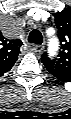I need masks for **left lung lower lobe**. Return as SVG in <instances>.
<instances>
[{
  "label": "left lung lower lobe",
  "mask_w": 71,
  "mask_h": 119,
  "mask_svg": "<svg viewBox=\"0 0 71 119\" xmlns=\"http://www.w3.org/2000/svg\"><path fill=\"white\" fill-rule=\"evenodd\" d=\"M54 77L63 81V82H71V73L66 71H60L57 69L46 68Z\"/></svg>",
  "instance_id": "1"
}]
</instances>
